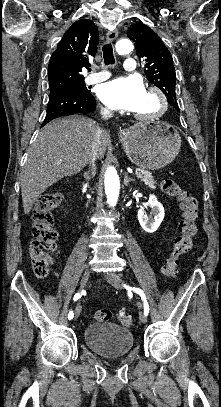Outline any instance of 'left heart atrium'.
<instances>
[{"label":"left heart atrium","mask_w":221,"mask_h":407,"mask_svg":"<svg viewBox=\"0 0 221 407\" xmlns=\"http://www.w3.org/2000/svg\"><path fill=\"white\" fill-rule=\"evenodd\" d=\"M146 90L140 78L118 77L102 84L98 94L100 100L112 109L135 111Z\"/></svg>","instance_id":"39dd6f15"}]
</instances>
